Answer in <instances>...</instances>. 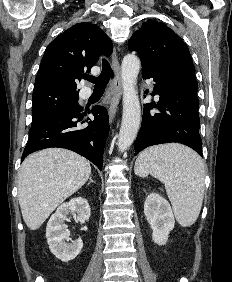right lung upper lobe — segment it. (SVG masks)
<instances>
[{"instance_id": "1", "label": "right lung upper lobe", "mask_w": 232, "mask_h": 282, "mask_svg": "<svg viewBox=\"0 0 232 282\" xmlns=\"http://www.w3.org/2000/svg\"><path fill=\"white\" fill-rule=\"evenodd\" d=\"M109 37L91 23H78L58 35L46 48L33 91L63 90L78 93L77 82L90 72L99 56L112 52Z\"/></svg>"}]
</instances>
